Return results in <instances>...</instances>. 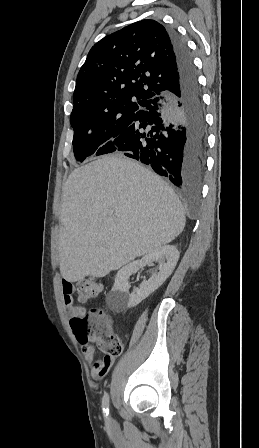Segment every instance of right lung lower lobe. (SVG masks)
I'll return each instance as SVG.
<instances>
[{
  "label": "right lung lower lobe",
  "mask_w": 259,
  "mask_h": 448,
  "mask_svg": "<svg viewBox=\"0 0 259 448\" xmlns=\"http://www.w3.org/2000/svg\"><path fill=\"white\" fill-rule=\"evenodd\" d=\"M179 73V85L143 106L113 141L112 152L150 165L176 187H198L205 169L207 128L197 74L185 42L166 28Z\"/></svg>",
  "instance_id": "98d812e1"
}]
</instances>
